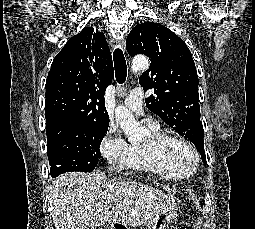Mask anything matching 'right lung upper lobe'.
I'll return each instance as SVG.
<instances>
[{
    "label": "right lung upper lobe",
    "instance_id": "obj_1",
    "mask_svg": "<svg viewBox=\"0 0 255 229\" xmlns=\"http://www.w3.org/2000/svg\"><path fill=\"white\" fill-rule=\"evenodd\" d=\"M113 78L104 34L85 27L53 60L46 80V124L109 123L104 95Z\"/></svg>",
    "mask_w": 255,
    "mask_h": 229
}]
</instances>
